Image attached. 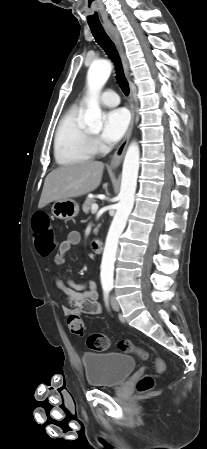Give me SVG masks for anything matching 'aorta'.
<instances>
[{"instance_id": "obj_1", "label": "aorta", "mask_w": 207, "mask_h": 449, "mask_svg": "<svg viewBox=\"0 0 207 449\" xmlns=\"http://www.w3.org/2000/svg\"><path fill=\"white\" fill-rule=\"evenodd\" d=\"M111 70L112 66L107 60L94 62L89 67L87 73L89 100L87 103V110L84 115V123L90 128H102V112L98 97L100 91L111 74ZM139 162V146L136 142H132L129 145L125 155L119 202L117 204L116 214L108 231L103 251L100 272L101 283L103 286L113 285L114 262L119 238L126 226L127 219L134 206Z\"/></svg>"}]
</instances>
